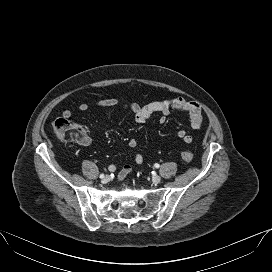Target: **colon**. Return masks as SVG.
I'll list each match as a JSON object with an SVG mask.
<instances>
[{"instance_id":"5ec220e1","label":"colon","mask_w":272,"mask_h":272,"mask_svg":"<svg viewBox=\"0 0 272 272\" xmlns=\"http://www.w3.org/2000/svg\"><path fill=\"white\" fill-rule=\"evenodd\" d=\"M53 131L59 139L64 141L83 142L86 139L84 129L65 117H60L53 122ZM181 158L185 162H190L193 159V154L189 150H183Z\"/></svg>"}]
</instances>
